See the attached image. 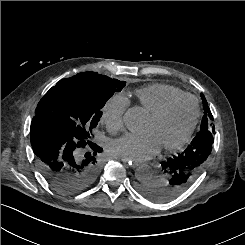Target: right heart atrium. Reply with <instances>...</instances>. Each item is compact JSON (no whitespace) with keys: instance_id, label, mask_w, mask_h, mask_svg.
Segmentation results:
<instances>
[{"instance_id":"d8ad5b80","label":"right heart atrium","mask_w":245,"mask_h":245,"mask_svg":"<svg viewBox=\"0 0 245 245\" xmlns=\"http://www.w3.org/2000/svg\"><path fill=\"white\" fill-rule=\"evenodd\" d=\"M129 101L122 95H113L103 105L102 120L110 132L116 133L123 129L124 113Z\"/></svg>"}]
</instances>
